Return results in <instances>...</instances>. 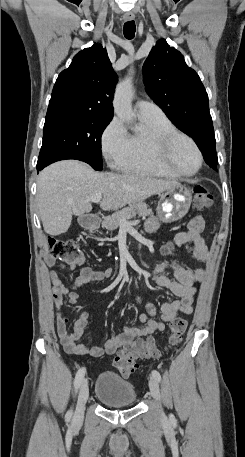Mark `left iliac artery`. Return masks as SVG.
<instances>
[{
  "mask_svg": "<svg viewBox=\"0 0 245 457\" xmlns=\"http://www.w3.org/2000/svg\"><path fill=\"white\" fill-rule=\"evenodd\" d=\"M152 376H153L157 381H161V375H160V373H159L157 370H153V371H152Z\"/></svg>",
  "mask_w": 245,
  "mask_h": 457,
  "instance_id": "44dca946",
  "label": "left iliac artery"
}]
</instances>
